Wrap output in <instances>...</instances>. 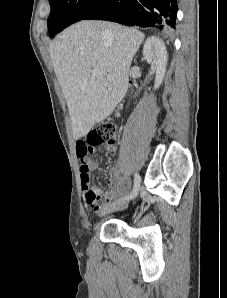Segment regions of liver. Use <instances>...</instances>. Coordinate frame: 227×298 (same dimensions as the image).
<instances>
[{"mask_svg":"<svg viewBox=\"0 0 227 298\" xmlns=\"http://www.w3.org/2000/svg\"><path fill=\"white\" fill-rule=\"evenodd\" d=\"M144 38L137 29L82 20L50 44V57L67 102L75 139L86 136L124 98L131 62ZM95 69L100 70L99 76L92 75Z\"/></svg>","mask_w":227,"mask_h":298,"instance_id":"1","label":"liver"}]
</instances>
